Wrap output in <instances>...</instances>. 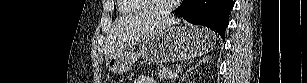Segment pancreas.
I'll list each match as a JSON object with an SVG mask.
<instances>
[{"label":"pancreas","instance_id":"obj_1","mask_svg":"<svg viewBox=\"0 0 307 83\" xmlns=\"http://www.w3.org/2000/svg\"><path fill=\"white\" fill-rule=\"evenodd\" d=\"M173 71L170 70L169 68H163L162 70H158V72L156 73V76L159 79H169L170 78V74H172Z\"/></svg>","mask_w":307,"mask_h":83}]
</instances>
